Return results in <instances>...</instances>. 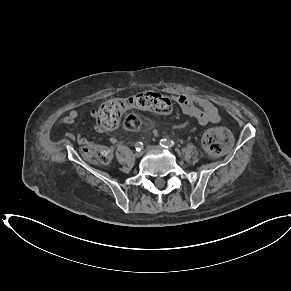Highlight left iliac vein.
Returning a JSON list of instances; mask_svg holds the SVG:
<instances>
[{
    "label": "left iliac vein",
    "mask_w": 291,
    "mask_h": 291,
    "mask_svg": "<svg viewBox=\"0 0 291 291\" xmlns=\"http://www.w3.org/2000/svg\"><path fill=\"white\" fill-rule=\"evenodd\" d=\"M149 150H163V147L161 146H152V147H148Z\"/></svg>",
    "instance_id": "4c4485c4"
}]
</instances>
